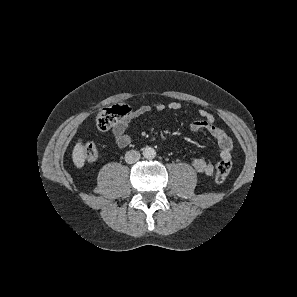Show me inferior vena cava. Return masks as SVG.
<instances>
[{
    "instance_id": "1",
    "label": "inferior vena cava",
    "mask_w": 297,
    "mask_h": 297,
    "mask_svg": "<svg viewBox=\"0 0 297 297\" xmlns=\"http://www.w3.org/2000/svg\"><path fill=\"white\" fill-rule=\"evenodd\" d=\"M140 153L136 150H130L128 152H126L125 154V161L128 164H133L135 162H137L140 159Z\"/></svg>"
}]
</instances>
